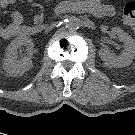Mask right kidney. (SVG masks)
Returning a JSON list of instances; mask_svg holds the SVG:
<instances>
[{
    "instance_id": "right-kidney-1",
    "label": "right kidney",
    "mask_w": 135,
    "mask_h": 135,
    "mask_svg": "<svg viewBox=\"0 0 135 135\" xmlns=\"http://www.w3.org/2000/svg\"><path fill=\"white\" fill-rule=\"evenodd\" d=\"M22 46H26L27 50L31 52L33 49L32 39L28 36L17 37L6 48L3 68L10 76L22 75L33 67L31 53L18 60V51Z\"/></svg>"
}]
</instances>
